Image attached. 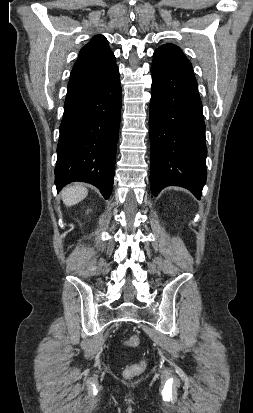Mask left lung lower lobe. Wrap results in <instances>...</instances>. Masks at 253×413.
I'll return each instance as SVG.
<instances>
[{
  "label": "left lung lower lobe",
  "mask_w": 253,
  "mask_h": 413,
  "mask_svg": "<svg viewBox=\"0 0 253 413\" xmlns=\"http://www.w3.org/2000/svg\"><path fill=\"white\" fill-rule=\"evenodd\" d=\"M151 174L154 196L166 186L187 188L200 199L206 182L202 102L192 65L157 49L151 66Z\"/></svg>",
  "instance_id": "obj_1"
}]
</instances>
